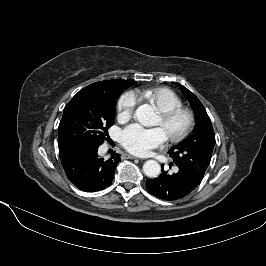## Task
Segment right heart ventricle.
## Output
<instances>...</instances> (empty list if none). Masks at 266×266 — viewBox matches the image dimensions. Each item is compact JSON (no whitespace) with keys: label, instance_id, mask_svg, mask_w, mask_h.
<instances>
[{"label":"right heart ventricle","instance_id":"e07e8e85","mask_svg":"<svg viewBox=\"0 0 266 266\" xmlns=\"http://www.w3.org/2000/svg\"><path fill=\"white\" fill-rule=\"evenodd\" d=\"M142 95L160 112L183 106L181 98L167 88L147 89L142 92Z\"/></svg>","mask_w":266,"mask_h":266}]
</instances>
